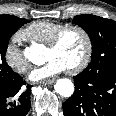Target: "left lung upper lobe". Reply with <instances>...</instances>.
<instances>
[{"mask_svg":"<svg viewBox=\"0 0 116 116\" xmlns=\"http://www.w3.org/2000/svg\"><path fill=\"white\" fill-rule=\"evenodd\" d=\"M72 22L86 31L92 43L91 62L81 74L116 72V22L95 15H78Z\"/></svg>","mask_w":116,"mask_h":116,"instance_id":"5c2ea615","label":"left lung upper lobe"}]
</instances>
